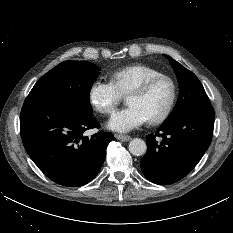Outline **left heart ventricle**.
<instances>
[{
    "label": "left heart ventricle",
    "instance_id": "b2bd125f",
    "mask_svg": "<svg viewBox=\"0 0 233 233\" xmlns=\"http://www.w3.org/2000/svg\"><path fill=\"white\" fill-rule=\"evenodd\" d=\"M170 96V84L167 81H160L145 94L129 95L127 97V103L128 105L138 107L149 120L164 111L170 100Z\"/></svg>",
    "mask_w": 233,
    "mask_h": 233
}]
</instances>
